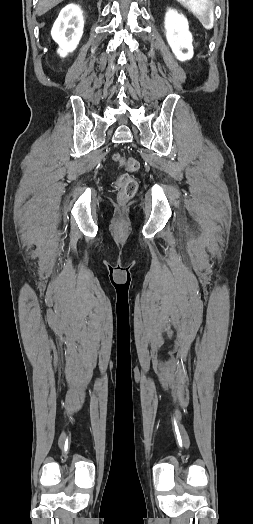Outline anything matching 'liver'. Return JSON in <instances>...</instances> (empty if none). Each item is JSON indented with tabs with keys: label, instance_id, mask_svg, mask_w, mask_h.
<instances>
[{
	"label": "liver",
	"instance_id": "1",
	"mask_svg": "<svg viewBox=\"0 0 253 524\" xmlns=\"http://www.w3.org/2000/svg\"><path fill=\"white\" fill-rule=\"evenodd\" d=\"M64 0H39L37 14L43 15Z\"/></svg>",
	"mask_w": 253,
	"mask_h": 524
}]
</instances>
